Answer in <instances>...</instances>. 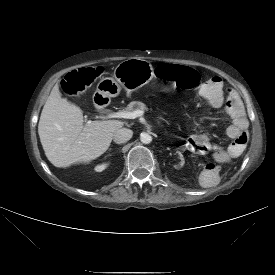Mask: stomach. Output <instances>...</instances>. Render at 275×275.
I'll use <instances>...</instances> for the list:
<instances>
[{
  "mask_svg": "<svg viewBox=\"0 0 275 275\" xmlns=\"http://www.w3.org/2000/svg\"><path fill=\"white\" fill-rule=\"evenodd\" d=\"M154 76L152 65L142 59L130 58L119 63L113 72V77L102 78L96 92L115 97L124 88L135 91L149 83Z\"/></svg>",
  "mask_w": 275,
  "mask_h": 275,
  "instance_id": "obj_1",
  "label": "stomach"
}]
</instances>
